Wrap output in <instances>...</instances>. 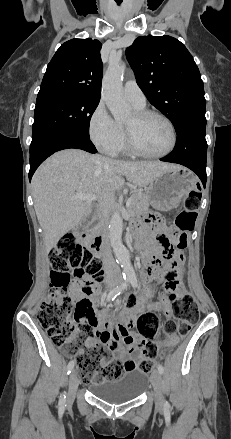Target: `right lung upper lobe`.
I'll use <instances>...</instances> for the list:
<instances>
[{
	"mask_svg": "<svg viewBox=\"0 0 231 439\" xmlns=\"http://www.w3.org/2000/svg\"><path fill=\"white\" fill-rule=\"evenodd\" d=\"M101 47L98 40L91 38L63 43L47 66L37 100L58 95L100 100Z\"/></svg>",
	"mask_w": 231,
	"mask_h": 439,
	"instance_id": "1",
	"label": "right lung upper lobe"
}]
</instances>
